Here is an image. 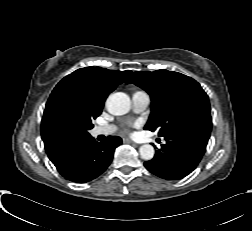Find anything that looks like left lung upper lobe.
<instances>
[{
  "instance_id": "left-lung-upper-lobe-1",
  "label": "left lung upper lobe",
  "mask_w": 252,
  "mask_h": 231,
  "mask_svg": "<svg viewBox=\"0 0 252 231\" xmlns=\"http://www.w3.org/2000/svg\"><path fill=\"white\" fill-rule=\"evenodd\" d=\"M126 83H134L151 96V115L145 130L157 129L161 137L188 127L211 131L208 96L191 77L161 69L154 72H134Z\"/></svg>"
}]
</instances>
